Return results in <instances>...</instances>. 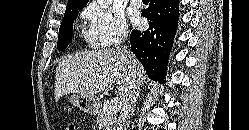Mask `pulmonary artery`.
<instances>
[{
    "instance_id": "1",
    "label": "pulmonary artery",
    "mask_w": 249,
    "mask_h": 130,
    "mask_svg": "<svg viewBox=\"0 0 249 130\" xmlns=\"http://www.w3.org/2000/svg\"><path fill=\"white\" fill-rule=\"evenodd\" d=\"M130 3L135 7H140L142 5V0H130Z\"/></svg>"
}]
</instances>
